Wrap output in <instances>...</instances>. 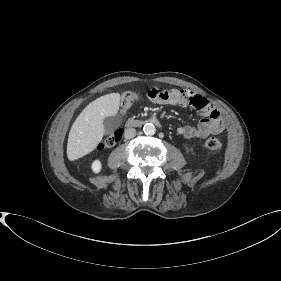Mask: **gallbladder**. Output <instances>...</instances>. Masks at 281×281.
Wrapping results in <instances>:
<instances>
[{
  "label": "gallbladder",
  "mask_w": 281,
  "mask_h": 281,
  "mask_svg": "<svg viewBox=\"0 0 281 281\" xmlns=\"http://www.w3.org/2000/svg\"><path fill=\"white\" fill-rule=\"evenodd\" d=\"M121 121L122 119L118 115L104 118L103 125L105 133L109 134L113 132L121 124Z\"/></svg>",
  "instance_id": "obj_1"
}]
</instances>
